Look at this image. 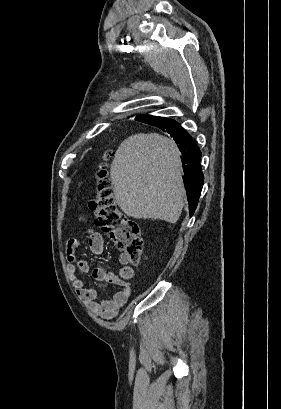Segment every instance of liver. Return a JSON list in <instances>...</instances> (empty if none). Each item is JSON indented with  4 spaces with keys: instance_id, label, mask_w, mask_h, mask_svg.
<instances>
[{
    "instance_id": "obj_1",
    "label": "liver",
    "mask_w": 281,
    "mask_h": 409,
    "mask_svg": "<svg viewBox=\"0 0 281 409\" xmlns=\"http://www.w3.org/2000/svg\"><path fill=\"white\" fill-rule=\"evenodd\" d=\"M117 205L134 219L177 223L185 188L180 152L168 136L132 134L119 144L111 164Z\"/></svg>"
}]
</instances>
